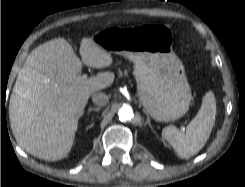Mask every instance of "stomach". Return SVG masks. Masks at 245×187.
<instances>
[{"mask_svg":"<svg viewBox=\"0 0 245 187\" xmlns=\"http://www.w3.org/2000/svg\"><path fill=\"white\" fill-rule=\"evenodd\" d=\"M172 37L170 29L158 24L110 27L91 37L107 52L134 63L139 100L160 122L185 115L192 100L184 66L172 49Z\"/></svg>","mask_w":245,"mask_h":187,"instance_id":"stomach-1","label":"stomach"}]
</instances>
